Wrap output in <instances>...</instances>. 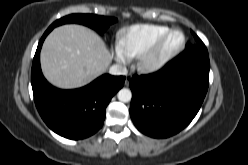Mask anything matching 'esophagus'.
Segmentation results:
<instances>
[{
    "mask_svg": "<svg viewBox=\"0 0 248 165\" xmlns=\"http://www.w3.org/2000/svg\"><path fill=\"white\" fill-rule=\"evenodd\" d=\"M131 79H132V75L131 74L126 75V79H125V85L126 86L129 85Z\"/></svg>",
    "mask_w": 248,
    "mask_h": 165,
    "instance_id": "esophagus-1",
    "label": "esophagus"
}]
</instances>
